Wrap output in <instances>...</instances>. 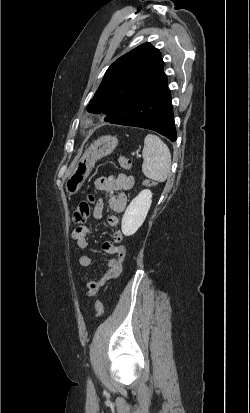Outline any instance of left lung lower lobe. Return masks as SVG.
Listing matches in <instances>:
<instances>
[{
    "label": "left lung lower lobe",
    "mask_w": 250,
    "mask_h": 413,
    "mask_svg": "<svg viewBox=\"0 0 250 413\" xmlns=\"http://www.w3.org/2000/svg\"><path fill=\"white\" fill-rule=\"evenodd\" d=\"M104 120L150 129L175 141L177 136L166 75L144 85L138 84L131 98Z\"/></svg>",
    "instance_id": "0a47b994"
}]
</instances>
